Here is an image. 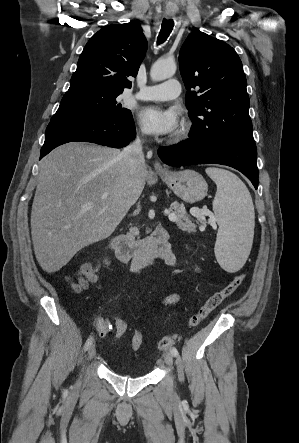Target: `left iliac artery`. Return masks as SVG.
Returning a JSON list of instances; mask_svg holds the SVG:
<instances>
[{"label": "left iliac artery", "instance_id": "left-iliac-artery-1", "mask_svg": "<svg viewBox=\"0 0 299 443\" xmlns=\"http://www.w3.org/2000/svg\"><path fill=\"white\" fill-rule=\"evenodd\" d=\"M170 352L173 356H175V357L178 356V350L175 347H172L170 349Z\"/></svg>", "mask_w": 299, "mask_h": 443}]
</instances>
